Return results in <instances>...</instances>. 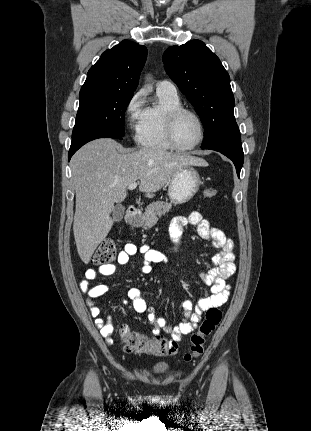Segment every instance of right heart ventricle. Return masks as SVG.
<instances>
[{"mask_svg":"<svg viewBox=\"0 0 311 431\" xmlns=\"http://www.w3.org/2000/svg\"><path fill=\"white\" fill-rule=\"evenodd\" d=\"M157 95L159 104L144 109L135 138L145 149L169 151L173 147L166 138V116L170 110L182 106V102L178 94L170 95L157 91Z\"/></svg>","mask_w":311,"mask_h":431,"instance_id":"obj_1","label":"right heart ventricle"}]
</instances>
